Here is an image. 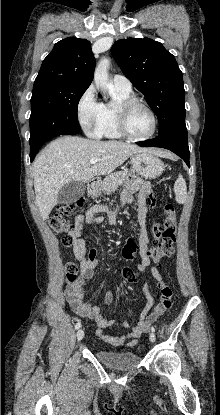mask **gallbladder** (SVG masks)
I'll return each instance as SVG.
<instances>
[{"label": "gallbladder", "mask_w": 220, "mask_h": 415, "mask_svg": "<svg viewBox=\"0 0 220 415\" xmlns=\"http://www.w3.org/2000/svg\"><path fill=\"white\" fill-rule=\"evenodd\" d=\"M85 189L86 186L82 182H69L60 189L57 201L60 204L74 203L84 195Z\"/></svg>", "instance_id": "bac80fb5"}]
</instances>
